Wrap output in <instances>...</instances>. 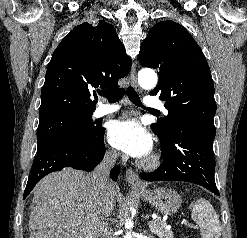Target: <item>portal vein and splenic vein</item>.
<instances>
[{
	"mask_svg": "<svg viewBox=\"0 0 247 238\" xmlns=\"http://www.w3.org/2000/svg\"><path fill=\"white\" fill-rule=\"evenodd\" d=\"M153 221L148 222V225H150Z\"/></svg>",
	"mask_w": 247,
	"mask_h": 238,
	"instance_id": "obj_1",
	"label": "portal vein and splenic vein"
}]
</instances>
